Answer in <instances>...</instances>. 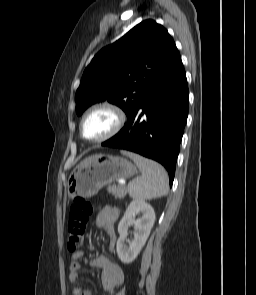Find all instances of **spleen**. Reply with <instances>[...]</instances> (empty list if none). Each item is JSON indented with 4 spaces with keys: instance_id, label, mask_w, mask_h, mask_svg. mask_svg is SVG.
Instances as JSON below:
<instances>
[{
    "instance_id": "obj_1",
    "label": "spleen",
    "mask_w": 256,
    "mask_h": 295,
    "mask_svg": "<svg viewBox=\"0 0 256 295\" xmlns=\"http://www.w3.org/2000/svg\"><path fill=\"white\" fill-rule=\"evenodd\" d=\"M139 167L142 175L128 185L130 197L139 200H150L168 194L169 183L165 169L152 160L132 152L122 151Z\"/></svg>"
}]
</instances>
